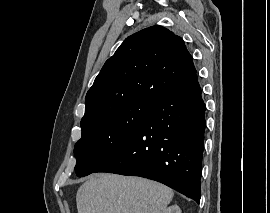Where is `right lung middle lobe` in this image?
Masks as SVG:
<instances>
[{"label": "right lung middle lobe", "instance_id": "obj_1", "mask_svg": "<svg viewBox=\"0 0 270 213\" xmlns=\"http://www.w3.org/2000/svg\"><path fill=\"white\" fill-rule=\"evenodd\" d=\"M155 105L136 100L81 122L82 136L74 147L77 176L93 173L111 158L135 134Z\"/></svg>", "mask_w": 270, "mask_h": 213}]
</instances>
